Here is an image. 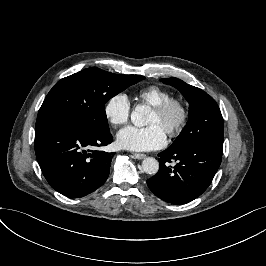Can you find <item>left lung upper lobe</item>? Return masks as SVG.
<instances>
[{"label": "left lung upper lobe", "instance_id": "1", "mask_svg": "<svg viewBox=\"0 0 266 266\" xmlns=\"http://www.w3.org/2000/svg\"><path fill=\"white\" fill-rule=\"evenodd\" d=\"M160 80L177 88L190 104L189 120L169 148L180 149L198 141L223 143V118L215 100L202 89L178 78Z\"/></svg>", "mask_w": 266, "mask_h": 266}]
</instances>
